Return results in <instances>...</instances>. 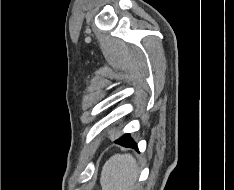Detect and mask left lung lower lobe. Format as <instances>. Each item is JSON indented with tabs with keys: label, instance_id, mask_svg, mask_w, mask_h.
Masks as SVG:
<instances>
[{
	"label": "left lung lower lobe",
	"instance_id": "1",
	"mask_svg": "<svg viewBox=\"0 0 234 190\" xmlns=\"http://www.w3.org/2000/svg\"><path fill=\"white\" fill-rule=\"evenodd\" d=\"M115 143L120 144L124 147L137 148V144L131 139L130 134H125L115 141Z\"/></svg>",
	"mask_w": 234,
	"mask_h": 190
}]
</instances>
